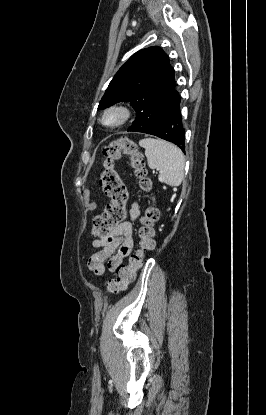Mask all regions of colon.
<instances>
[{"mask_svg":"<svg viewBox=\"0 0 266 415\" xmlns=\"http://www.w3.org/2000/svg\"><path fill=\"white\" fill-rule=\"evenodd\" d=\"M122 155L128 157V166L138 180L139 187L145 192L151 189V181L147 178L144 158L137 143L125 137L108 143L103 149L104 169L100 177V185L111 203L106 206L101 215L96 216L93 220L92 234L96 238H107L115 227L126 219L128 190L115 168V162ZM158 220L159 210L156 206L149 205L140 219L139 247L130 257L129 263L117 269L116 278L107 283V292L119 293L124 291L135 280L146 252L152 250L155 246V224Z\"/></svg>","mask_w":266,"mask_h":415,"instance_id":"1","label":"colon"}]
</instances>
